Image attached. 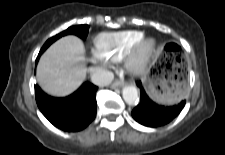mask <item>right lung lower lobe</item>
<instances>
[{
    "mask_svg": "<svg viewBox=\"0 0 225 155\" xmlns=\"http://www.w3.org/2000/svg\"><path fill=\"white\" fill-rule=\"evenodd\" d=\"M39 57L40 54L36 63ZM97 89L86 82L72 95L55 98L35 85V98L40 111L50 123L63 131L76 132L86 128L96 116Z\"/></svg>",
    "mask_w": 225,
    "mask_h": 155,
    "instance_id": "1",
    "label": "right lung lower lobe"
}]
</instances>
